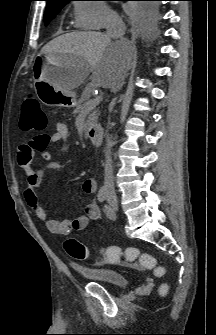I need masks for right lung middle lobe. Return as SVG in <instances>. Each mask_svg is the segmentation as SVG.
<instances>
[{"mask_svg": "<svg viewBox=\"0 0 216 335\" xmlns=\"http://www.w3.org/2000/svg\"><path fill=\"white\" fill-rule=\"evenodd\" d=\"M68 2H61L50 4L46 6V11L44 15V19L46 20L45 25H47L59 12L60 10L67 4ZM156 3H148L145 7L142 8L144 12L145 19L150 21H154L157 17V7Z\"/></svg>", "mask_w": 216, "mask_h": 335, "instance_id": "right-lung-middle-lobe-1", "label": "right lung middle lobe"}]
</instances>
